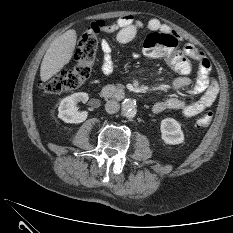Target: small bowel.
Wrapping results in <instances>:
<instances>
[{
	"label": "small bowel",
	"mask_w": 233,
	"mask_h": 233,
	"mask_svg": "<svg viewBox=\"0 0 233 233\" xmlns=\"http://www.w3.org/2000/svg\"><path fill=\"white\" fill-rule=\"evenodd\" d=\"M106 31L115 32V41L118 44H126L132 41L143 30L169 32L167 25L158 19L143 21L130 15L117 19L112 25L104 28ZM101 48L104 53L100 71L103 77L109 76L113 71L112 52L113 46L109 41H102ZM184 53L197 64L198 73L195 81L186 76H180L173 80L171 88L175 91L185 90L190 94H200L192 100H182L176 97H168L157 101L152 106L154 113L175 110L185 117H193L209 108L216 100L219 93V85L211 75V64L205 53L196 46L186 43L182 47ZM138 57V55H134Z\"/></svg>",
	"instance_id": "1"
}]
</instances>
